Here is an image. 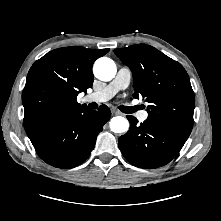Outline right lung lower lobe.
<instances>
[{"label": "right lung lower lobe", "mask_w": 221, "mask_h": 221, "mask_svg": "<svg viewBox=\"0 0 221 221\" xmlns=\"http://www.w3.org/2000/svg\"><path fill=\"white\" fill-rule=\"evenodd\" d=\"M110 117V109L105 105L98 111L85 105L54 120L32 126L26 132L42 160L54 167L69 169L88 158L97 135Z\"/></svg>", "instance_id": "1"}]
</instances>
